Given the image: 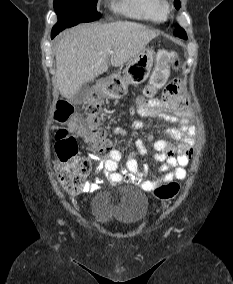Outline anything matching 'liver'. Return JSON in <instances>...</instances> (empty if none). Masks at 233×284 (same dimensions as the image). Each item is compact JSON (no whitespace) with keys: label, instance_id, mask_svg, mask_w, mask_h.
<instances>
[{"label":"liver","instance_id":"6515ba94","mask_svg":"<svg viewBox=\"0 0 233 284\" xmlns=\"http://www.w3.org/2000/svg\"><path fill=\"white\" fill-rule=\"evenodd\" d=\"M158 32L144 25L118 21L78 26L64 33L56 47V82L63 97L72 99L84 83L140 53ZM111 49L112 53H108Z\"/></svg>","mask_w":233,"mask_h":284}]
</instances>
